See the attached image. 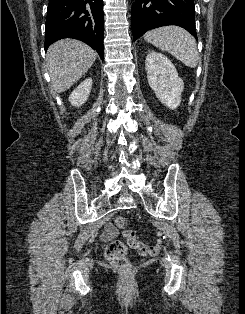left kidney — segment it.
Segmentation results:
<instances>
[{"instance_id": "obj_1", "label": "left kidney", "mask_w": 245, "mask_h": 314, "mask_svg": "<svg viewBox=\"0 0 245 314\" xmlns=\"http://www.w3.org/2000/svg\"><path fill=\"white\" fill-rule=\"evenodd\" d=\"M149 86L159 101L175 110L181 103L184 82L178 76L175 66L163 54L150 51L145 59Z\"/></svg>"}]
</instances>
